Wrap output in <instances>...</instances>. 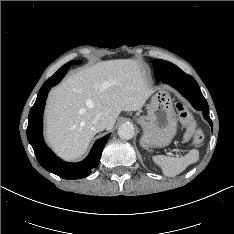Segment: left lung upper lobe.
Listing matches in <instances>:
<instances>
[{"instance_id": "obj_1", "label": "left lung upper lobe", "mask_w": 234, "mask_h": 234, "mask_svg": "<svg viewBox=\"0 0 234 234\" xmlns=\"http://www.w3.org/2000/svg\"><path fill=\"white\" fill-rule=\"evenodd\" d=\"M152 63L157 81H160L165 77L175 76L183 73L179 67L165 60H154Z\"/></svg>"}]
</instances>
